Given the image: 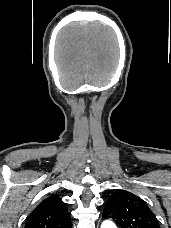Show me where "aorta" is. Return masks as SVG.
<instances>
[{
	"instance_id": "obj_1",
	"label": "aorta",
	"mask_w": 171,
	"mask_h": 228,
	"mask_svg": "<svg viewBox=\"0 0 171 228\" xmlns=\"http://www.w3.org/2000/svg\"><path fill=\"white\" fill-rule=\"evenodd\" d=\"M101 228H117V227L112 221L106 220L101 224Z\"/></svg>"
}]
</instances>
